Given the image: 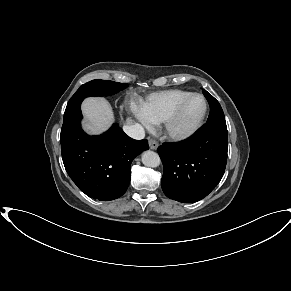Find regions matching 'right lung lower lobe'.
I'll return each instance as SVG.
<instances>
[{"label": "right lung lower lobe", "mask_w": 291, "mask_h": 291, "mask_svg": "<svg viewBox=\"0 0 291 291\" xmlns=\"http://www.w3.org/2000/svg\"><path fill=\"white\" fill-rule=\"evenodd\" d=\"M82 114L64 118L60 142L65 169L87 196L109 201L128 188L133 159L148 150V141L134 140L114 124L99 136H89L81 128Z\"/></svg>", "instance_id": "right-lung-lower-lobe-1"}]
</instances>
